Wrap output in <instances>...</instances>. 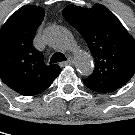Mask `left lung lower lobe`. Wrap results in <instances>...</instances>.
I'll list each match as a JSON object with an SVG mask.
<instances>
[{
    "instance_id": "1",
    "label": "left lung lower lobe",
    "mask_w": 135,
    "mask_h": 135,
    "mask_svg": "<svg viewBox=\"0 0 135 135\" xmlns=\"http://www.w3.org/2000/svg\"><path fill=\"white\" fill-rule=\"evenodd\" d=\"M86 86H87L89 89L93 90V91L102 92V91H100V90L97 89V88L91 87V86H89V85H86Z\"/></svg>"
}]
</instances>
